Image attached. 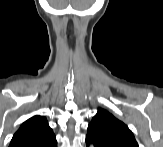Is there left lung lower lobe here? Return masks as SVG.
<instances>
[{
	"label": "left lung lower lobe",
	"mask_w": 163,
	"mask_h": 147,
	"mask_svg": "<svg viewBox=\"0 0 163 147\" xmlns=\"http://www.w3.org/2000/svg\"><path fill=\"white\" fill-rule=\"evenodd\" d=\"M89 144H93L94 147H134L132 145L125 144V143L111 142V141H104V140L95 139V138H93L87 134L86 145L88 146Z\"/></svg>",
	"instance_id": "obj_1"
}]
</instances>
